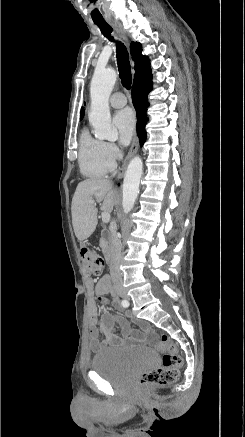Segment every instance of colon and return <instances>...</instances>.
<instances>
[{
	"label": "colon",
	"mask_w": 245,
	"mask_h": 437,
	"mask_svg": "<svg viewBox=\"0 0 245 437\" xmlns=\"http://www.w3.org/2000/svg\"><path fill=\"white\" fill-rule=\"evenodd\" d=\"M82 271L85 276L100 275L104 268L103 259L95 250L83 246L80 250ZM160 349L165 353L162 367L144 373L139 382L142 386H164L175 382L182 366V359L178 354L177 346L166 335L160 337Z\"/></svg>",
	"instance_id": "colon-1"
}]
</instances>
